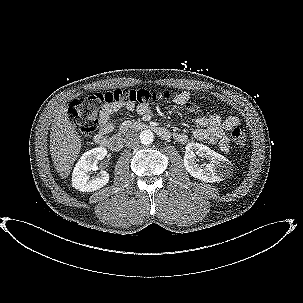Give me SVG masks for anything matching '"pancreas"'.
I'll return each instance as SVG.
<instances>
[{
	"mask_svg": "<svg viewBox=\"0 0 303 303\" xmlns=\"http://www.w3.org/2000/svg\"><path fill=\"white\" fill-rule=\"evenodd\" d=\"M132 127H134V122L128 120V121H125V122L122 124L120 130H121V132H124V131L128 130L129 128H132Z\"/></svg>",
	"mask_w": 303,
	"mask_h": 303,
	"instance_id": "1",
	"label": "pancreas"
}]
</instances>
